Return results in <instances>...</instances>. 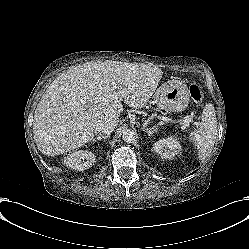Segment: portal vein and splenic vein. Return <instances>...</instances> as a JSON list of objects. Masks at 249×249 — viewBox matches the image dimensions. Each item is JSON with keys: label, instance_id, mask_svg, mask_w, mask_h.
I'll use <instances>...</instances> for the list:
<instances>
[{"label": "portal vein and splenic vein", "instance_id": "1", "mask_svg": "<svg viewBox=\"0 0 249 249\" xmlns=\"http://www.w3.org/2000/svg\"><path fill=\"white\" fill-rule=\"evenodd\" d=\"M119 96H123V93H121V95H119ZM189 123H190V119H185V120H183L182 122H181V124L182 125H184V126H187V125H189Z\"/></svg>", "mask_w": 249, "mask_h": 249}]
</instances>
